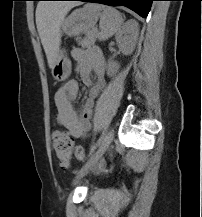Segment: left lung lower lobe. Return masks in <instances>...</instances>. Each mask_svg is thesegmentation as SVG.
Listing matches in <instances>:
<instances>
[{
	"mask_svg": "<svg viewBox=\"0 0 202 217\" xmlns=\"http://www.w3.org/2000/svg\"><path fill=\"white\" fill-rule=\"evenodd\" d=\"M63 1H85L101 3L109 6H125L142 17H146L150 11L151 4L155 0H63Z\"/></svg>",
	"mask_w": 202,
	"mask_h": 217,
	"instance_id": "0a47b994",
	"label": "left lung lower lobe"
}]
</instances>
